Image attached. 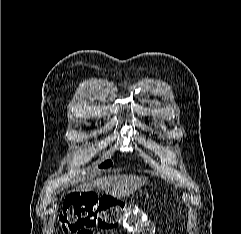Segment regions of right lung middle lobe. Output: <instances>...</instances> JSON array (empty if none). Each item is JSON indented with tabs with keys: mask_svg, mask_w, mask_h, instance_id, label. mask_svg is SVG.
I'll list each match as a JSON object with an SVG mask.
<instances>
[{
	"mask_svg": "<svg viewBox=\"0 0 241 234\" xmlns=\"http://www.w3.org/2000/svg\"><path fill=\"white\" fill-rule=\"evenodd\" d=\"M111 165H112V162L110 160H108V161L102 163L99 167L100 168H106V167H109Z\"/></svg>",
	"mask_w": 241,
	"mask_h": 234,
	"instance_id": "dd1d6c3e",
	"label": "right lung middle lobe"
}]
</instances>
